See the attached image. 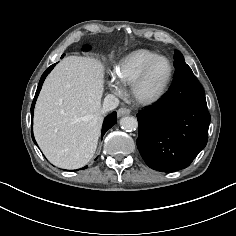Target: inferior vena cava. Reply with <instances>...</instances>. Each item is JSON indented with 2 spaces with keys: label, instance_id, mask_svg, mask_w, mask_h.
Segmentation results:
<instances>
[{
  "label": "inferior vena cava",
  "instance_id": "inferior-vena-cava-1",
  "mask_svg": "<svg viewBox=\"0 0 236 236\" xmlns=\"http://www.w3.org/2000/svg\"><path fill=\"white\" fill-rule=\"evenodd\" d=\"M118 105H119V99L112 94H108L104 99L102 112H108L114 110L115 108L118 107Z\"/></svg>",
  "mask_w": 236,
  "mask_h": 236
}]
</instances>
